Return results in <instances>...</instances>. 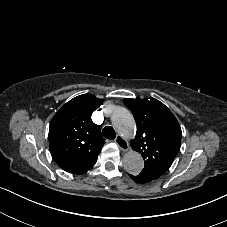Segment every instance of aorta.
Instances as JSON below:
<instances>
[{"label": "aorta", "instance_id": "1", "mask_svg": "<svg viewBox=\"0 0 227 227\" xmlns=\"http://www.w3.org/2000/svg\"><path fill=\"white\" fill-rule=\"evenodd\" d=\"M111 121L116 130L125 137H131L134 134L136 124L133 115L123 107H114L111 115ZM124 168L132 174H139L144 168V159L141 154L130 150L124 156Z\"/></svg>", "mask_w": 227, "mask_h": 227}]
</instances>
